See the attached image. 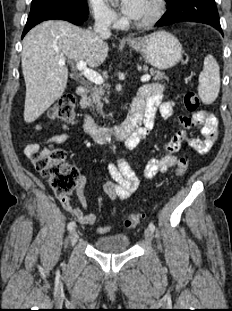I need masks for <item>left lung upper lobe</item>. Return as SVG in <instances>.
I'll use <instances>...</instances> for the list:
<instances>
[{"mask_svg":"<svg viewBox=\"0 0 232 311\" xmlns=\"http://www.w3.org/2000/svg\"><path fill=\"white\" fill-rule=\"evenodd\" d=\"M166 2H169L170 0H165Z\"/></svg>","mask_w":232,"mask_h":311,"instance_id":"left-lung-upper-lobe-1","label":"left lung upper lobe"}]
</instances>
